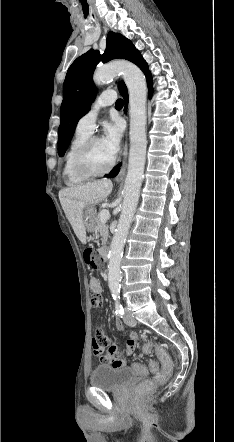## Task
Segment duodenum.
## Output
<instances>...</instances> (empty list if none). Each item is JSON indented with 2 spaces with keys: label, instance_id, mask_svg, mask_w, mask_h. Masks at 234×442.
Wrapping results in <instances>:
<instances>
[{
  "label": "duodenum",
  "instance_id": "obj_1",
  "mask_svg": "<svg viewBox=\"0 0 234 442\" xmlns=\"http://www.w3.org/2000/svg\"><path fill=\"white\" fill-rule=\"evenodd\" d=\"M100 256L102 260L107 263L109 259V248L104 246L100 249Z\"/></svg>",
  "mask_w": 234,
  "mask_h": 442
}]
</instances>
